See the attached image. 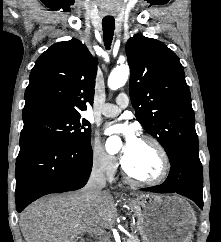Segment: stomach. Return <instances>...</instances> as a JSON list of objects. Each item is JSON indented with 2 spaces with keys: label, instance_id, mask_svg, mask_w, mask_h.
Returning <instances> with one entry per match:
<instances>
[{
  "label": "stomach",
  "instance_id": "0dacf381",
  "mask_svg": "<svg viewBox=\"0 0 221 242\" xmlns=\"http://www.w3.org/2000/svg\"><path fill=\"white\" fill-rule=\"evenodd\" d=\"M137 216L143 242H190L196 217L190 204L177 195L142 194L126 200Z\"/></svg>",
  "mask_w": 221,
  "mask_h": 242
}]
</instances>
